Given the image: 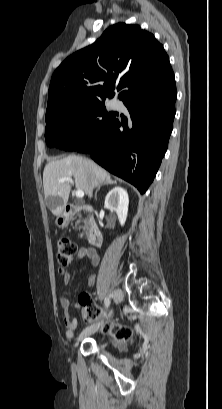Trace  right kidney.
Wrapping results in <instances>:
<instances>
[{"label":"right kidney","instance_id":"right-kidney-1","mask_svg":"<svg viewBox=\"0 0 222 409\" xmlns=\"http://www.w3.org/2000/svg\"><path fill=\"white\" fill-rule=\"evenodd\" d=\"M129 198L127 191L122 187H115L105 198V208L115 211L120 224L123 226L128 214Z\"/></svg>","mask_w":222,"mask_h":409}]
</instances>
